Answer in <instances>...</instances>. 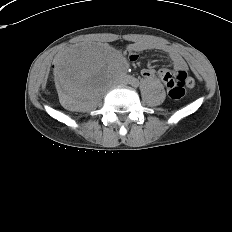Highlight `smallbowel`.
<instances>
[{
  "label": "small bowel",
  "instance_id": "small-bowel-1",
  "mask_svg": "<svg viewBox=\"0 0 232 232\" xmlns=\"http://www.w3.org/2000/svg\"><path fill=\"white\" fill-rule=\"evenodd\" d=\"M128 50L132 53V61L136 60L135 53L146 51V50H161L168 54L170 62L173 66L174 73L169 69L163 68L157 71L158 76L162 81H167L174 75H186L187 66L182 58L180 52L172 47L164 46L157 42L147 40H136L128 46ZM142 76L146 79H151L156 75V71L152 69H143L141 72Z\"/></svg>",
  "mask_w": 232,
  "mask_h": 232
}]
</instances>
